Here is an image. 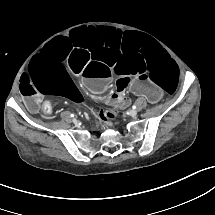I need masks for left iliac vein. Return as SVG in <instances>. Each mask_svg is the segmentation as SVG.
Returning a JSON list of instances; mask_svg holds the SVG:
<instances>
[{"mask_svg": "<svg viewBox=\"0 0 215 215\" xmlns=\"http://www.w3.org/2000/svg\"><path fill=\"white\" fill-rule=\"evenodd\" d=\"M128 114H129L131 117L135 118V117L137 116V111H136L135 109H132V110H129V111H128Z\"/></svg>", "mask_w": 215, "mask_h": 215, "instance_id": "1", "label": "left iliac vein"}]
</instances>
